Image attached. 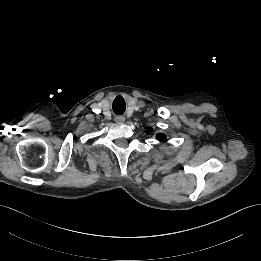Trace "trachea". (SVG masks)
I'll list each match as a JSON object with an SVG mask.
<instances>
[{"label": "trachea", "instance_id": "1", "mask_svg": "<svg viewBox=\"0 0 261 261\" xmlns=\"http://www.w3.org/2000/svg\"><path fill=\"white\" fill-rule=\"evenodd\" d=\"M126 109V104L121 96H117L113 102V111L117 115H122Z\"/></svg>", "mask_w": 261, "mask_h": 261}]
</instances>
